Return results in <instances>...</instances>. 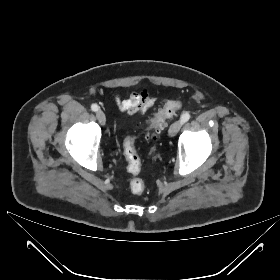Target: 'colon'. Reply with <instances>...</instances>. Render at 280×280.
I'll use <instances>...</instances> for the list:
<instances>
[{
	"mask_svg": "<svg viewBox=\"0 0 280 280\" xmlns=\"http://www.w3.org/2000/svg\"><path fill=\"white\" fill-rule=\"evenodd\" d=\"M181 101H170L163 108L159 109L150 120L146 129L147 138H155L154 133L161 130L167 119L172 118L177 110L182 107ZM136 136H128L124 141V154L128 162V169L133 174H138L141 169V162L136 152L135 141ZM145 189L144 181L141 178H133L130 181V190L134 194H141Z\"/></svg>",
	"mask_w": 280,
	"mask_h": 280,
	"instance_id": "5ec220e1",
	"label": "colon"
}]
</instances>
